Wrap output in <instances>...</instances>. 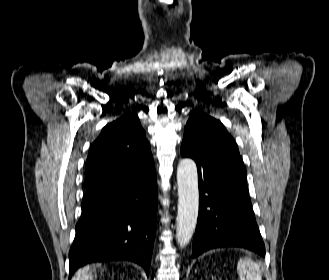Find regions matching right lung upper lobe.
Here are the masks:
<instances>
[{
    "mask_svg": "<svg viewBox=\"0 0 329 280\" xmlns=\"http://www.w3.org/2000/svg\"><path fill=\"white\" fill-rule=\"evenodd\" d=\"M155 170L150 144L135 113L107 124L91 145L86 161V188L112 177H134Z\"/></svg>",
    "mask_w": 329,
    "mask_h": 280,
    "instance_id": "right-lung-upper-lobe-1",
    "label": "right lung upper lobe"
}]
</instances>
